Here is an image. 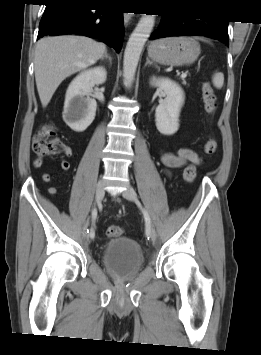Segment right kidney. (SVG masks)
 <instances>
[{
  "instance_id": "1",
  "label": "right kidney",
  "mask_w": 261,
  "mask_h": 355,
  "mask_svg": "<svg viewBox=\"0 0 261 355\" xmlns=\"http://www.w3.org/2000/svg\"><path fill=\"white\" fill-rule=\"evenodd\" d=\"M107 72L103 67H95L81 72L69 85L64 104L63 119L76 132L85 131L93 122L97 103L91 98L96 84L106 81Z\"/></svg>"
}]
</instances>
